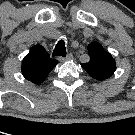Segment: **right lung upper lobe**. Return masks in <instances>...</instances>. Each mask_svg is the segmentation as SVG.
I'll list each match as a JSON object with an SVG mask.
<instances>
[{"instance_id": "right-lung-upper-lobe-1", "label": "right lung upper lobe", "mask_w": 135, "mask_h": 135, "mask_svg": "<svg viewBox=\"0 0 135 135\" xmlns=\"http://www.w3.org/2000/svg\"><path fill=\"white\" fill-rule=\"evenodd\" d=\"M57 63V60L50 58L43 46L35 45L24 57L21 72L28 81L38 85L46 79Z\"/></svg>"}]
</instances>
